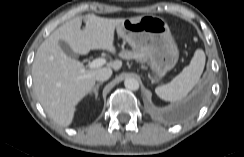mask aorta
Masks as SVG:
<instances>
[{
  "label": "aorta",
  "instance_id": "762f6f07",
  "mask_svg": "<svg viewBox=\"0 0 244 157\" xmlns=\"http://www.w3.org/2000/svg\"><path fill=\"white\" fill-rule=\"evenodd\" d=\"M124 85L129 90H138L139 89V82L136 78L128 77L124 81Z\"/></svg>",
  "mask_w": 244,
  "mask_h": 157
}]
</instances>
